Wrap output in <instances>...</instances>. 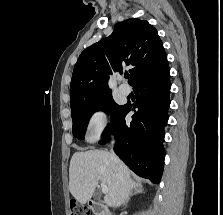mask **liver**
<instances>
[{
    "label": "liver",
    "instance_id": "6515ba94",
    "mask_svg": "<svg viewBox=\"0 0 223 215\" xmlns=\"http://www.w3.org/2000/svg\"><path fill=\"white\" fill-rule=\"evenodd\" d=\"M99 181H104L108 193L104 197L106 205H120L133 189L141 187L131 177V171L120 159H112L109 151L89 149L76 151L69 167V191L80 203H86L94 193Z\"/></svg>",
    "mask_w": 223,
    "mask_h": 215
}]
</instances>
